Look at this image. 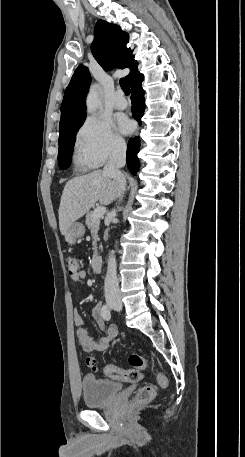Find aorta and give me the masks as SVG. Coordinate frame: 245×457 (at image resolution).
<instances>
[{
	"label": "aorta",
	"instance_id": "obj_1",
	"mask_svg": "<svg viewBox=\"0 0 245 457\" xmlns=\"http://www.w3.org/2000/svg\"><path fill=\"white\" fill-rule=\"evenodd\" d=\"M99 85L95 84L92 85L89 89V93L86 98V107L89 113H94L99 109L102 105V101L99 96Z\"/></svg>",
	"mask_w": 245,
	"mask_h": 457
}]
</instances>
